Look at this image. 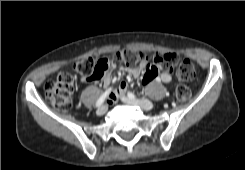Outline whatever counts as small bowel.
<instances>
[{"label":"small bowel","instance_id":"c3829d8e","mask_svg":"<svg viewBox=\"0 0 245 170\" xmlns=\"http://www.w3.org/2000/svg\"><path fill=\"white\" fill-rule=\"evenodd\" d=\"M125 70L124 69H119L118 71V75L121 77L125 74ZM139 75V72H134L133 76L137 77ZM160 81L166 85V86H170L171 85V81H172V76H171V71L168 68H165L161 71L160 76H159ZM113 77L111 76V73H105L103 76V82L105 86H108L109 84H111L113 82ZM152 80V73L150 71H146L143 75L142 78V85L146 86L150 83V81ZM130 86V82L129 81H125L121 84V88L123 90H126L128 87Z\"/></svg>","mask_w":245,"mask_h":170}]
</instances>
